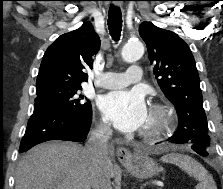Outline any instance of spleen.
I'll return each mask as SVG.
<instances>
[{
    "label": "spleen",
    "instance_id": "spleen-1",
    "mask_svg": "<svg viewBox=\"0 0 223 189\" xmlns=\"http://www.w3.org/2000/svg\"><path fill=\"white\" fill-rule=\"evenodd\" d=\"M161 160L165 163L177 165L188 175L198 180L199 183L197 184L196 189H217L213 177L199 162L190 156L178 153H170L162 156Z\"/></svg>",
    "mask_w": 223,
    "mask_h": 189
}]
</instances>
